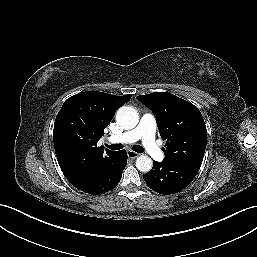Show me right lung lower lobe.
I'll use <instances>...</instances> for the list:
<instances>
[{
	"label": "right lung lower lobe",
	"instance_id": "98d812e1",
	"mask_svg": "<svg viewBox=\"0 0 257 257\" xmlns=\"http://www.w3.org/2000/svg\"><path fill=\"white\" fill-rule=\"evenodd\" d=\"M126 164V151H116L106 160L99 162L91 171L83 175L67 177V179L85 193L100 195L117 186Z\"/></svg>",
	"mask_w": 257,
	"mask_h": 257
}]
</instances>
